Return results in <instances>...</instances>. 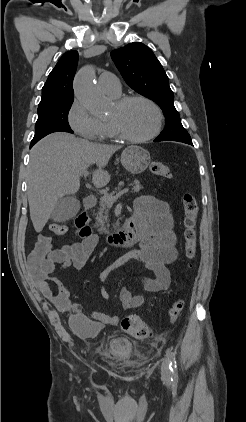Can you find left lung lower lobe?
I'll return each instance as SVG.
<instances>
[{"label": "left lung lower lobe", "mask_w": 246, "mask_h": 422, "mask_svg": "<svg viewBox=\"0 0 246 422\" xmlns=\"http://www.w3.org/2000/svg\"><path fill=\"white\" fill-rule=\"evenodd\" d=\"M154 141H155V142H157V140H156V139H155ZM184 143H187V144L193 145L191 140H189V141H185Z\"/></svg>", "instance_id": "obj_1"}]
</instances>
